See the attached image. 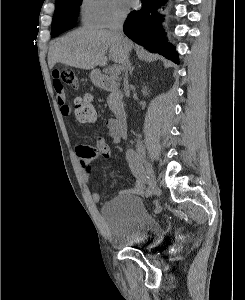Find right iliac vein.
<instances>
[{
  "label": "right iliac vein",
  "mask_w": 245,
  "mask_h": 300,
  "mask_svg": "<svg viewBox=\"0 0 245 300\" xmlns=\"http://www.w3.org/2000/svg\"><path fill=\"white\" fill-rule=\"evenodd\" d=\"M139 158L140 160L142 161V163L144 164L145 166V169H146V175L148 177V179L151 181V185L154 186L155 190L157 191V184H156V179H155V176H154V171L152 169V166L151 164L149 163L146 155L144 154V152H139ZM149 185V186H151Z\"/></svg>",
  "instance_id": "right-iliac-vein-1"
}]
</instances>
